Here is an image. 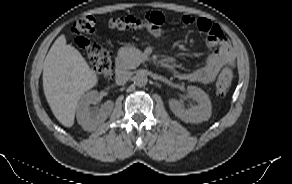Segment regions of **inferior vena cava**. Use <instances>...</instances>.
<instances>
[{
	"mask_svg": "<svg viewBox=\"0 0 292 184\" xmlns=\"http://www.w3.org/2000/svg\"><path fill=\"white\" fill-rule=\"evenodd\" d=\"M132 73L126 70H120L116 72V84L117 85H124L130 79Z\"/></svg>",
	"mask_w": 292,
	"mask_h": 184,
	"instance_id": "602c4592",
	"label": "inferior vena cava"
}]
</instances>
